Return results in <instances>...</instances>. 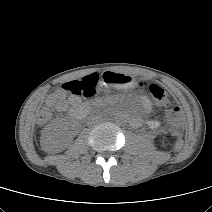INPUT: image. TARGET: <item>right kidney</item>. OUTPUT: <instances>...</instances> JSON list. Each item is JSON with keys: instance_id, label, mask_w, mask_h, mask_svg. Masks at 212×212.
<instances>
[{"instance_id": "1", "label": "right kidney", "mask_w": 212, "mask_h": 212, "mask_svg": "<svg viewBox=\"0 0 212 212\" xmlns=\"http://www.w3.org/2000/svg\"><path fill=\"white\" fill-rule=\"evenodd\" d=\"M60 137L61 135L59 134V132L48 130L47 134L42 140V145L49 146V145L57 144L60 141Z\"/></svg>"}]
</instances>
